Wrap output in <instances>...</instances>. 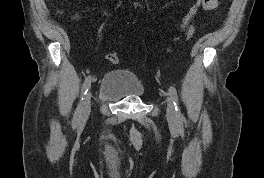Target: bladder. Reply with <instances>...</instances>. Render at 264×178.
I'll return each mask as SVG.
<instances>
[{"label":"bladder","instance_id":"31cf9c89","mask_svg":"<svg viewBox=\"0 0 264 178\" xmlns=\"http://www.w3.org/2000/svg\"><path fill=\"white\" fill-rule=\"evenodd\" d=\"M146 91L140 78L131 70L116 69L101 80L99 95L111 100L140 99Z\"/></svg>","mask_w":264,"mask_h":178}]
</instances>
